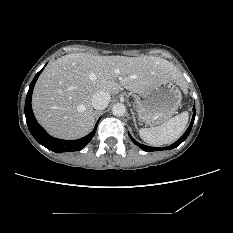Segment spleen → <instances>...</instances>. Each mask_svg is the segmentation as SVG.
Wrapping results in <instances>:
<instances>
[{
  "label": "spleen",
  "instance_id": "spleen-1",
  "mask_svg": "<svg viewBox=\"0 0 233 233\" xmlns=\"http://www.w3.org/2000/svg\"><path fill=\"white\" fill-rule=\"evenodd\" d=\"M188 118V112L184 111L160 126L141 128L139 130V135L143 141L153 146L170 144L183 134Z\"/></svg>",
  "mask_w": 233,
  "mask_h": 233
}]
</instances>
